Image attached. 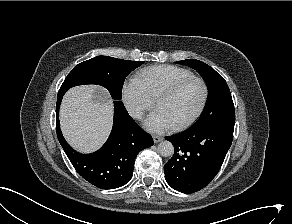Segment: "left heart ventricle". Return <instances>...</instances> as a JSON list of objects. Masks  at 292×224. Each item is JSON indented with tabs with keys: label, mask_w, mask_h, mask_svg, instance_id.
Instances as JSON below:
<instances>
[{
	"label": "left heart ventricle",
	"mask_w": 292,
	"mask_h": 224,
	"mask_svg": "<svg viewBox=\"0 0 292 224\" xmlns=\"http://www.w3.org/2000/svg\"><path fill=\"white\" fill-rule=\"evenodd\" d=\"M203 96L202 86L198 82H191L170 98L158 102L161 109L174 126L188 120L198 109Z\"/></svg>",
	"instance_id": "b2bd125f"
}]
</instances>
